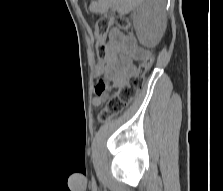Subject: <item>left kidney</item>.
<instances>
[{
	"instance_id": "5707ae66",
	"label": "left kidney",
	"mask_w": 223,
	"mask_h": 191,
	"mask_svg": "<svg viewBox=\"0 0 223 191\" xmlns=\"http://www.w3.org/2000/svg\"><path fill=\"white\" fill-rule=\"evenodd\" d=\"M165 0L146 1L134 16V27L139 41L148 47L155 46L166 27Z\"/></svg>"
}]
</instances>
